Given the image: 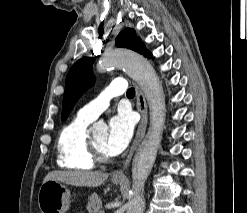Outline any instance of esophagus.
Wrapping results in <instances>:
<instances>
[{
  "label": "esophagus",
  "mask_w": 247,
  "mask_h": 213,
  "mask_svg": "<svg viewBox=\"0 0 247 213\" xmlns=\"http://www.w3.org/2000/svg\"><path fill=\"white\" fill-rule=\"evenodd\" d=\"M136 100H137L136 102L137 109L141 116L140 123L137 129V132H136L135 139L131 146L130 152L123 164V167L113 173V178H125L124 171L129 166L136 148L138 147L139 143L141 142V140L143 139L145 135L147 122H148V111H147V104H146L145 97L138 86H136Z\"/></svg>",
  "instance_id": "1"
}]
</instances>
